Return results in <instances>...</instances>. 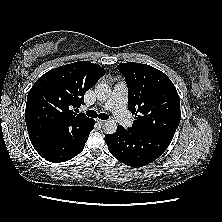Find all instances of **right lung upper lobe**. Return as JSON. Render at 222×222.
Returning a JSON list of instances; mask_svg holds the SVG:
<instances>
[{
  "label": "right lung upper lobe",
  "instance_id": "obj_1",
  "mask_svg": "<svg viewBox=\"0 0 222 222\" xmlns=\"http://www.w3.org/2000/svg\"><path fill=\"white\" fill-rule=\"evenodd\" d=\"M104 74L100 65L81 61L52 69L35 82L28 93L25 110L33 146L87 128L92 119L74 113L73 108L84 104L85 92Z\"/></svg>",
  "mask_w": 222,
  "mask_h": 222
}]
</instances>
